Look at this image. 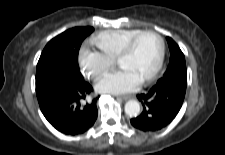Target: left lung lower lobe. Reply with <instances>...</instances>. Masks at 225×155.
I'll return each instance as SVG.
<instances>
[{
	"label": "left lung lower lobe",
	"instance_id": "1",
	"mask_svg": "<svg viewBox=\"0 0 225 155\" xmlns=\"http://www.w3.org/2000/svg\"><path fill=\"white\" fill-rule=\"evenodd\" d=\"M186 85L178 80H158L146 94L137 95L143 102V112L131 119L142 131H158L166 127L178 114L185 97Z\"/></svg>",
	"mask_w": 225,
	"mask_h": 155
}]
</instances>
